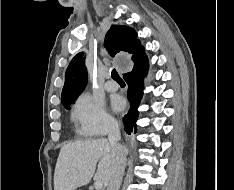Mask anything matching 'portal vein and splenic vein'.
I'll return each instance as SVG.
<instances>
[{
  "label": "portal vein and splenic vein",
  "mask_w": 234,
  "mask_h": 190,
  "mask_svg": "<svg viewBox=\"0 0 234 190\" xmlns=\"http://www.w3.org/2000/svg\"><path fill=\"white\" fill-rule=\"evenodd\" d=\"M94 187L96 190H101L102 187H103V182L101 180H97L95 183H94Z\"/></svg>",
  "instance_id": "portal-vein-and-splenic-vein-1"
}]
</instances>
